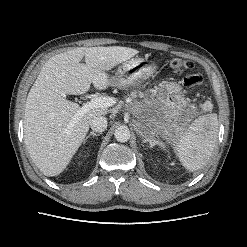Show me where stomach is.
Listing matches in <instances>:
<instances>
[{"label": "stomach", "instance_id": "0dacf381", "mask_svg": "<svg viewBox=\"0 0 247 247\" xmlns=\"http://www.w3.org/2000/svg\"><path fill=\"white\" fill-rule=\"evenodd\" d=\"M156 70V64L143 58H131L118 67L111 77L112 85L127 88L141 84ZM155 99L140 102L133 120L136 131L145 139L160 135L177 138L180 119L187 106L182 87L176 82L163 81L156 88Z\"/></svg>", "mask_w": 247, "mask_h": 247}]
</instances>
